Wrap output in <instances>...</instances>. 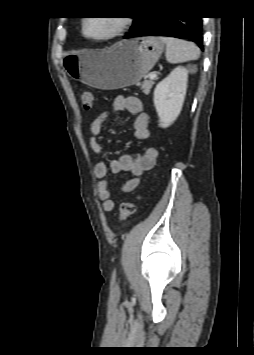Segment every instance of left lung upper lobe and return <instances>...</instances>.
<instances>
[{"mask_svg":"<svg viewBox=\"0 0 254 355\" xmlns=\"http://www.w3.org/2000/svg\"><path fill=\"white\" fill-rule=\"evenodd\" d=\"M134 18V21L137 20V17H133Z\"/></svg>","mask_w":254,"mask_h":355,"instance_id":"5c2ea615","label":"left lung upper lobe"}]
</instances>
